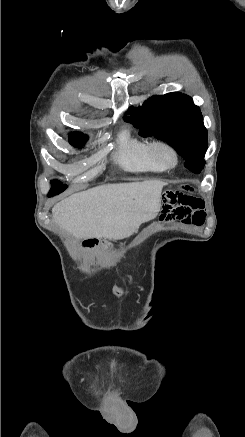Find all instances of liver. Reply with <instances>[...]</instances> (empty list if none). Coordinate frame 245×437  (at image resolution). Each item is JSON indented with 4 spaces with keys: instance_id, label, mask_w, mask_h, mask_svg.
<instances>
[{
    "instance_id": "obj_1",
    "label": "liver",
    "mask_w": 245,
    "mask_h": 437,
    "mask_svg": "<svg viewBox=\"0 0 245 437\" xmlns=\"http://www.w3.org/2000/svg\"><path fill=\"white\" fill-rule=\"evenodd\" d=\"M164 185L160 180H147L78 192L53 207V219L77 239L128 238L141 224L156 218Z\"/></svg>"
}]
</instances>
